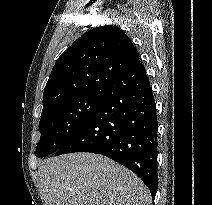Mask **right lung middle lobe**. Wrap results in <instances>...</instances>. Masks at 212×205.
<instances>
[{"instance_id": "1", "label": "right lung middle lobe", "mask_w": 212, "mask_h": 205, "mask_svg": "<svg viewBox=\"0 0 212 205\" xmlns=\"http://www.w3.org/2000/svg\"><path fill=\"white\" fill-rule=\"evenodd\" d=\"M101 101V91L64 101L41 114L38 157L55 153L87 120Z\"/></svg>"}]
</instances>
